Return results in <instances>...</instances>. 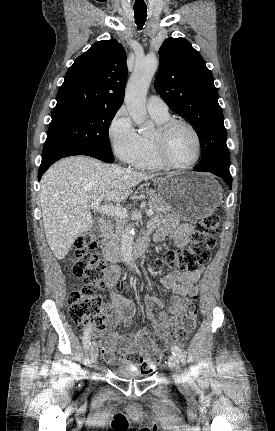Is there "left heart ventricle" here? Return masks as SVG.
<instances>
[{"label": "left heart ventricle", "mask_w": 275, "mask_h": 431, "mask_svg": "<svg viewBox=\"0 0 275 431\" xmlns=\"http://www.w3.org/2000/svg\"><path fill=\"white\" fill-rule=\"evenodd\" d=\"M168 155L177 164H187L194 159L196 141L187 127L178 125L173 129L168 140Z\"/></svg>", "instance_id": "obj_1"}]
</instances>
